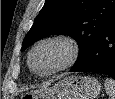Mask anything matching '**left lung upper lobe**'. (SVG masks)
<instances>
[{"instance_id":"5c2ea615","label":"left lung upper lobe","mask_w":115,"mask_h":99,"mask_svg":"<svg viewBox=\"0 0 115 99\" xmlns=\"http://www.w3.org/2000/svg\"><path fill=\"white\" fill-rule=\"evenodd\" d=\"M114 20L115 0H46L21 50L49 35H69L79 45L76 65L99 42Z\"/></svg>"}]
</instances>
